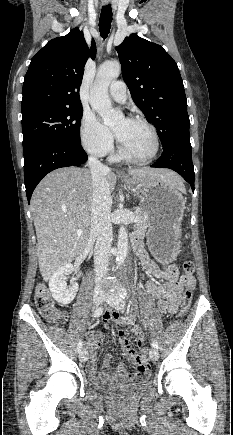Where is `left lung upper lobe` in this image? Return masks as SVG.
I'll list each match as a JSON object with an SVG mask.
<instances>
[{"instance_id":"1","label":"left lung upper lobe","mask_w":233,"mask_h":435,"mask_svg":"<svg viewBox=\"0 0 233 435\" xmlns=\"http://www.w3.org/2000/svg\"><path fill=\"white\" fill-rule=\"evenodd\" d=\"M116 50L133 101L154 124L162 146L189 136L184 85L172 57L137 34L126 37Z\"/></svg>"}]
</instances>
